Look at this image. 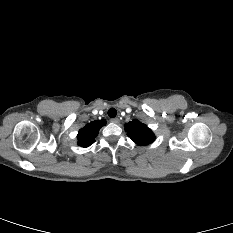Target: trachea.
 <instances>
[{
	"label": "trachea",
	"mask_w": 233,
	"mask_h": 233,
	"mask_svg": "<svg viewBox=\"0 0 233 233\" xmlns=\"http://www.w3.org/2000/svg\"><path fill=\"white\" fill-rule=\"evenodd\" d=\"M117 115V111L115 108H110L108 110V116L111 117V118H114L115 116Z\"/></svg>",
	"instance_id": "obj_1"
}]
</instances>
